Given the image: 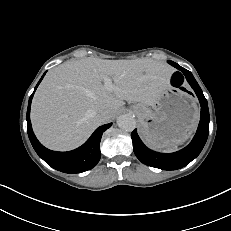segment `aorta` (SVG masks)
Listing matches in <instances>:
<instances>
[{
	"label": "aorta",
	"mask_w": 231,
	"mask_h": 231,
	"mask_svg": "<svg viewBox=\"0 0 231 231\" xmlns=\"http://www.w3.org/2000/svg\"><path fill=\"white\" fill-rule=\"evenodd\" d=\"M117 125L122 130L131 132L136 127V121L133 118V116L128 115V114H123L117 118Z\"/></svg>",
	"instance_id": "aorta-1"
}]
</instances>
